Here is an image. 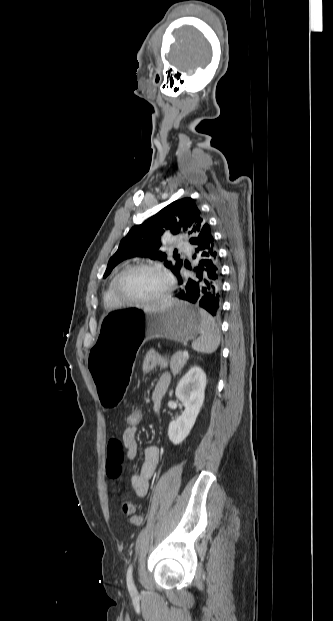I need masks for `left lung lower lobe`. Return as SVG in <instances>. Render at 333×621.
Listing matches in <instances>:
<instances>
[{
    "label": "left lung lower lobe",
    "mask_w": 333,
    "mask_h": 621,
    "mask_svg": "<svg viewBox=\"0 0 333 621\" xmlns=\"http://www.w3.org/2000/svg\"><path fill=\"white\" fill-rule=\"evenodd\" d=\"M191 243L195 246L193 258L198 262L191 270L194 278L183 279L179 271L176 277L181 288L174 297L198 304L212 316H218L222 306L221 268L210 226L205 225ZM185 267L190 268L187 264Z\"/></svg>",
    "instance_id": "obj_1"
}]
</instances>
